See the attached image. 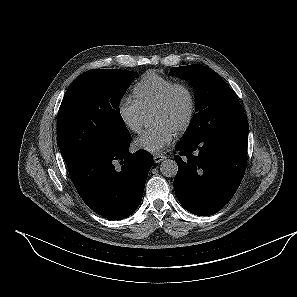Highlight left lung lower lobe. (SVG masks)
I'll list each match as a JSON object with an SVG mask.
<instances>
[{"instance_id": "0a47b994", "label": "left lung lower lobe", "mask_w": 297, "mask_h": 297, "mask_svg": "<svg viewBox=\"0 0 297 297\" xmlns=\"http://www.w3.org/2000/svg\"><path fill=\"white\" fill-rule=\"evenodd\" d=\"M248 131V121L241 117L182 139L175 147L179 154L175 155L174 189L186 210L198 216L212 215L230 201L246 170Z\"/></svg>"}]
</instances>
